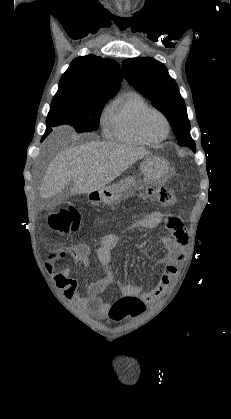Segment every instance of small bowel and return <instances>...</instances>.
<instances>
[{
    "label": "small bowel",
    "mask_w": 231,
    "mask_h": 419,
    "mask_svg": "<svg viewBox=\"0 0 231 419\" xmlns=\"http://www.w3.org/2000/svg\"><path fill=\"white\" fill-rule=\"evenodd\" d=\"M163 220L167 223L165 230L171 234L162 239L167 249V254L162 260L164 264L162 274L152 290L145 291L142 284L130 285L118 281L110 267L112 251L119 241V237L115 234L104 236L99 243L97 257L103 269V277L90 283L85 295H81L78 291V282L70 277L69 269L54 273V284L63 291L65 299L73 302L77 307L102 316L108 315L111 303L103 301L100 295L110 285H116L123 296H137L147 304L155 302L176 277L178 265L185 258V247L188 240L187 232L177 213H168L166 216L159 211L146 215L136 221L131 227L132 229H152L157 227ZM69 252L76 263L79 262L85 267L90 265V248L88 245L83 243L77 244L71 247ZM47 266L50 270L55 268L54 263H47Z\"/></svg>",
    "instance_id": "small-bowel-1"
}]
</instances>
